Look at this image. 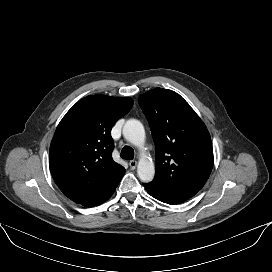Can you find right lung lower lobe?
I'll list each match as a JSON object with an SVG mask.
<instances>
[{"instance_id":"1","label":"right lung lower lobe","mask_w":272,"mask_h":272,"mask_svg":"<svg viewBox=\"0 0 272 272\" xmlns=\"http://www.w3.org/2000/svg\"><path fill=\"white\" fill-rule=\"evenodd\" d=\"M124 173L125 171L119 173L105 188H103L99 193L94 195L92 198L81 203V205L85 207H94L104 203L112 196L120 180L122 179Z\"/></svg>"}]
</instances>
